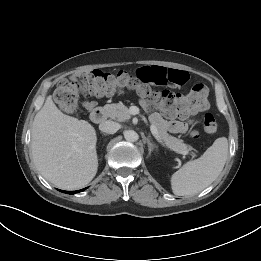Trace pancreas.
I'll use <instances>...</instances> for the list:
<instances>
[{
	"instance_id": "cf45deb5",
	"label": "pancreas",
	"mask_w": 261,
	"mask_h": 261,
	"mask_svg": "<svg viewBox=\"0 0 261 261\" xmlns=\"http://www.w3.org/2000/svg\"><path fill=\"white\" fill-rule=\"evenodd\" d=\"M104 109L108 117L119 122H125L131 117L128 107L121 102L107 104L104 106ZM151 122L156 126L160 139L168 148L179 154H185L192 150V147L185 144L183 140L169 135L156 121L152 120Z\"/></svg>"
}]
</instances>
